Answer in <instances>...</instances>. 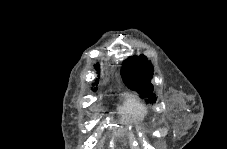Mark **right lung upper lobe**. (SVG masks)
<instances>
[{
    "label": "right lung upper lobe",
    "instance_id": "cb5924a9",
    "mask_svg": "<svg viewBox=\"0 0 227 149\" xmlns=\"http://www.w3.org/2000/svg\"><path fill=\"white\" fill-rule=\"evenodd\" d=\"M94 66L96 67V70L99 73V65H94ZM96 85H97V83H96ZM95 89H97V88H95Z\"/></svg>",
    "mask_w": 227,
    "mask_h": 149
}]
</instances>
